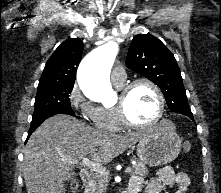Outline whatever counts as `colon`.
I'll return each instance as SVG.
<instances>
[{
    "mask_svg": "<svg viewBox=\"0 0 221 193\" xmlns=\"http://www.w3.org/2000/svg\"><path fill=\"white\" fill-rule=\"evenodd\" d=\"M183 148H184L185 151H190L191 150V144L190 143H185L183 145ZM76 189H77V184H76V182H74L72 184V191H73V193L76 192Z\"/></svg>",
    "mask_w": 221,
    "mask_h": 193,
    "instance_id": "obj_1",
    "label": "colon"
}]
</instances>
